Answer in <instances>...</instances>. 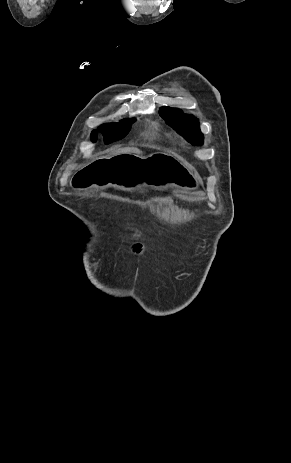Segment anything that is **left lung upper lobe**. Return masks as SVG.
Wrapping results in <instances>:
<instances>
[{
  "label": "left lung upper lobe",
  "instance_id": "1",
  "mask_svg": "<svg viewBox=\"0 0 291 463\" xmlns=\"http://www.w3.org/2000/svg\"><path fill=\"white\" fill-rule=\"evenodd\" d=\"M159 113L170 126L186 137L193 145L203 143V134L196 117L184 115L181 110L170 107H161Z\"/></svg>",
  "mask_w": 291,
  "mask_h": 463
}]
</instances>
